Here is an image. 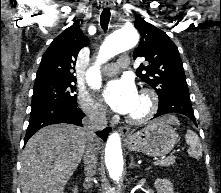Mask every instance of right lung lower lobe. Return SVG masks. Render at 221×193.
Listing matches in <instances>:
<instances>
[{"mask_svg":"<svg viewBox=\"0 0 221 193\" xmlns=\"http://www.w3.org/2000/svg\"><path fill=\"white\" fill-rule=\"evenodd\" d=\"M84 116L78 104L53 103L32 108L24 144L35 132L50 124L70 123L82 126L81 120ZM110 130L111 128H105L96 134L105 141Z\"/></svg>","mask_w":221,"mask_h":193,"instance_id":"obj_1","label":"right lung lower lobe"}]
</instances>
